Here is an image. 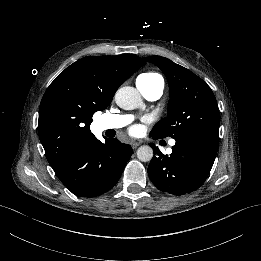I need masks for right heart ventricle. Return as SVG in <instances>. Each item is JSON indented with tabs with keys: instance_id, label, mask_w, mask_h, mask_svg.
Returning a JSON list of instances; mask_svg holds the SVG:
<instances>
[{
	"instance_id": "1",
	"label": "right heart ventricle",
	"mask_w": 261,
	"mask_h": 261,
	"mask_svg": "<svg viewBox=\"0 0 261 261\" xmlns=\"http://www.w3.org/2000/svg\"><path fill=\"white\" fill-rule=\"evenodd\" d=\"M137 80L142 81V83L149 87V86H155V85H163L164 86V80L163 77L156 72H145L139 75Z\"/></svg>"
}]
</instances>
